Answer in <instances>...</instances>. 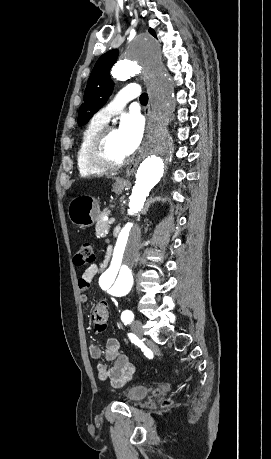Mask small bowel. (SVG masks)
<instances>
[{
  "instance_id": "c3829d8e",
  "label": "small bowel",
  "mask_w": 271,
  "mask_h": 459,
  "mask_svg": "<svg viewBox=\"0 0 271 459\" xmlns=\"http://www.w3.org/2000/svg\"><path fill=\"white\" fill-rule=\"evenodd\" d=\"M105 264H93L85 269L78 279L79 297L82 302L88 299V289L92 279L104 269ZM120 345L116 338H109L106 342L105 350H102L96 345H91L89 348L90 355L94 359L105 358L112 361V367H107L105 364H98L96 374L101 380H110L115 387L122 386L132 375L134 371L133 365L129 362L126 355L119 350Z\"/></svg>"
}]
</instances>
